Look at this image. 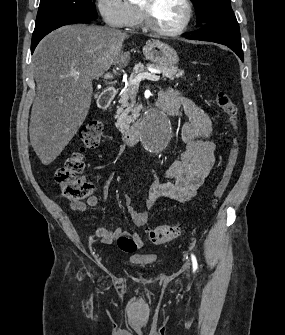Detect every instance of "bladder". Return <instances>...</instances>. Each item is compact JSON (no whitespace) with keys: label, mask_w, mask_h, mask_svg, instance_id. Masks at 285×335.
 Returning <instances> with one entry per match:
<instances>
[{"label":"bladder","mask_w":285,"mask_h":335,"mask_svg":"<svg viewBox=\"0 0 285 335\" xmlns=\"http://www.w3.org/2000/svg\"><path fill=\"white\" fill-rule=\"evenodd\" d=\"M129 265H156V258H129Z\"/></svg>","instance_id":"31cf9c89"}]
</instances>
